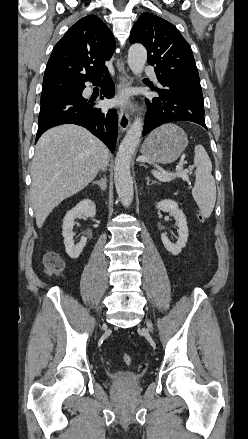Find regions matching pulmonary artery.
I'll return each mask as SVG.
<instances>
[{"instance_id": "pulmonary-artery-1", "label": "pulmonary artery", "mask_w": 248, "mask_h": 439, "mask_svg": "<svg viewBox=\"0 0 248 439\" xmlns=\"http://www.w3.org/2000/svg\"><path fill=\"white\" fill-rule=\"evenodd\" d=\"M144 73L146 75H148L149 77H151L153 79H156V73H155V71L153 69L146 67L145 70H144Z\"/></svg>"}]
</instances>
